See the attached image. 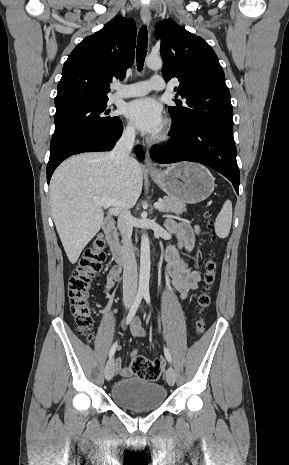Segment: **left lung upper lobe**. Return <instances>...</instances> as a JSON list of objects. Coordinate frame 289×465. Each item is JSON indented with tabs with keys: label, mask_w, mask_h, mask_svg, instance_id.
<instances>
[{
	"label": "left lung upper lobe",
	"mask_w": 289,
	"mask_h": 465,
	"mask_svg": "<svg viewBox=\"0 0 289 465\" xmlns=\"http://www.w3.org/2000/svg\"><path fill=\"white\" fill-rule=\"evenodd\" d=\"M155 34L161 38L163 76L166 81L177 78L176 91L186 99L185 106L178 100L177 107H169L174 125L204 122L232 128L230 92L214 50L172 20L158 23Z\"/></svg>",
	"instance_id": "1"
}]
</instances>
